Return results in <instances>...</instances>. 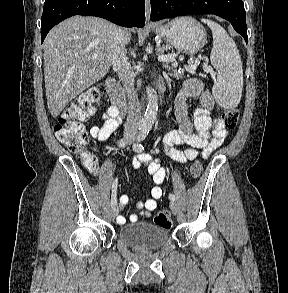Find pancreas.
<instances>
[{"label": "pancreas", "mask_w": 288, "mask_h": 293, "mask_svg": "<svg viewBox=\"0 0 288 293\" xmlns=\"http://www.w3.org/2000/svg\"><path fill=\"white\" fill-rule=\"evenodd\" d=\"M166 48H163L159 51L160 54H163ZM189 64H194L193 62H189ZM164 67L169 71L170 75L176 78H182L184 75V69H180L178 71V64L176 61L165 62Z\"/></svg>", "instance_id": "pancreas-1"}]
</instances>
